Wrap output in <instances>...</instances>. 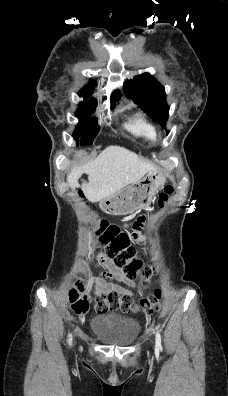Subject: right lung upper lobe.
Returning <instances> with one entry per match:
<instances>
[{
	"instance_id": "cb5924a9",
	"label": "right lung upper lobe",
	"mask_w": 228,
	"mask_h": 396,
	"mask_svg": "<svg viewBox=\"0 0 228 396\" xmlns=\"http://www.w3.org/2000/svg\"><path fill=\"white\" fill-rule=\"evenodd\" d=\"M94 82H91L88 86H85L84 88H82L79 91V94H83V95H91L93 92V88H94ZM120 99V92L119 91H115L112 96H111V100L112 101H117Z\"/></svg>"
}]
</instances>
